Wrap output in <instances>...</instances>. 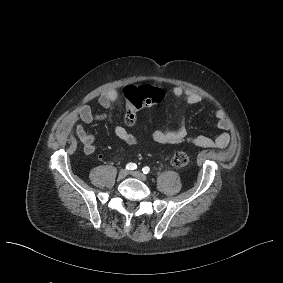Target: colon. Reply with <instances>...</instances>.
Masks as SVG:
<instances>
[{"label": "colon", "instance_id": "1", "mask_svg": "<svg viewBox=\"0 0 283 283\" xmlns=\"http://www.w3.org/2000/svg\"><path fill=\"white\" fill-rule=\"evenodd\" d=\"M124 96L126 99L124 120L128 125H132L136 121V111L144 106L160 103L164 98V92L148 84L130 85L124 89ZM190 162V155L186 151H177L171 160L176 168L186 167Z\"/></svg>", "mask_w": 283, "mask_h": 283}]
</instances>
